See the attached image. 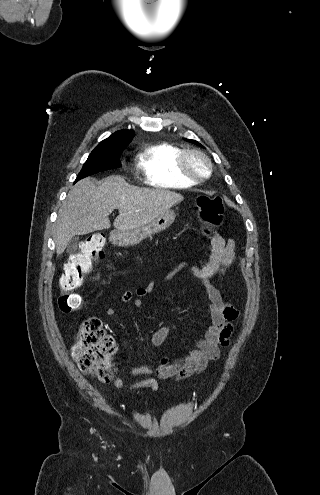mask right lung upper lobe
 <instances>
[{"label":"right lung upper lobe","instance_id":"obj_1","mask_svg":"<svg viewBox=\"0 0 320 495\" xmlns=\"http://www.w3.org/2000/svg\"><path fill=\"white\" fill-rule=\"evenodd\" d=\"M134 137L132 130H121L101 141L97 147H126Z\"/></svg>","mask_w":320,"mask_h":495}]
</instances>
